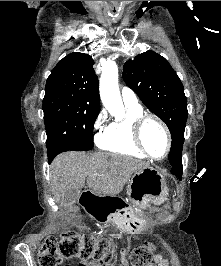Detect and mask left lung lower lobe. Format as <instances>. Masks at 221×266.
Masks as SVG:
<instances>
[{
  "mask_svg": "<svg viewBox=\"0 0 221 266\" xmlns=\"http://www.w3.org/2000/svg\"><path fill=\"white\" fill-rule=\"evenodd\" d=\"M171 172L175 174L179 179L182 177V161L172 165Z\"/></svg>",
  "mask_w": 221,
  "mask_h": 266,
  "instance_id": "0a47b994",
  "label": "left lung lower lobe"
}]
</instances>
